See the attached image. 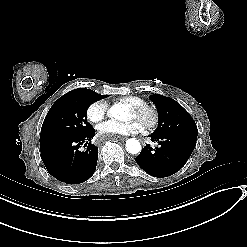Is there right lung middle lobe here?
<instances>
[{"label": "right lung middle lobe", "instance_id": "dd1d6c3e", "mask_svg": "<svg viewBox=\"0 0 247 247\" xmlns=\"http://www.w3.org/2000/svg\"><path fill=\"white\" fill-rule=\"evenodd\" d=\"M107 96L86 88L74 89L61 96L44 119L40 144L58 138L78 137L92 130L87 122V109L93 102Z\"/></svg>", "mask_w": 247, "mask_h": 247}]
</instances>
